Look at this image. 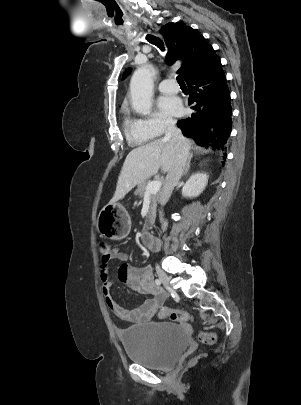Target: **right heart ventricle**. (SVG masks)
I'll list each match as a JSON object with an SVG mask.
<instances>
[{"instance_id": "e07e8e85", "label": "right heart ventricle", "mask_w": 301, "mask_h": 405, "mask_svg": "<svg viewBox=\"0 0 301 405\" xmlns=\"http://www.w3.org/2000/svg\"><path fill=\"white\" fill-rule=\"evenodd\" d=\"M122 126L128 142L133 146L143 145L153 139L154 135L146 129L142 120L125 111Z\"/></svg>"}]
</instances>
